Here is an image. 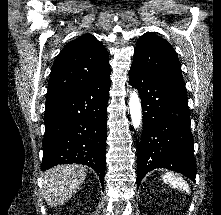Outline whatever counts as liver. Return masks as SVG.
Instances as JSON below:
<instances>
[{"label":"liver","instance_id":"liver-1","mask_svg":"<svg viewBox=\"0 0 221 215\" xmlns=\"http://www.w3.org/2000/svg\"><path fill=\"white\" fill-rule=\"evenodd\" d=\"M87 175L86 166L58 165L46 171L43 179L44 199L51 207L67 202L80 188Z\"/></svg>","mask_w":221,"mask_h":215}]
</instances>
